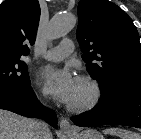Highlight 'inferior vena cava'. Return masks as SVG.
<instances>
[{
  "label": "inferior vena cava",
  "mask_w": 141,
  "mask_h": 139,
  "mask_svg": "<svg viewBox=\"0 0 141 139\" xmlns=\"http://www.w3.org/2000/svg\"><path fill=\"white\" fill-rule=\"evenodd\" d=\"M51 132L45 122H38L34 139H50Z\"/></svg>",
  "instance_id": "obj_1"
}]
</instances>
